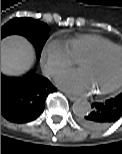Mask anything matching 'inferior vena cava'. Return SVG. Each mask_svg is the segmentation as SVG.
Masks as SVG:
<instances>
[{
	"instance_id": "602c4592",
	"label": "inferior vena cava",
	"mask_w": 122,
	"mask_h": 154,
	"mask_svg": "<svg viewBox=\"0 0 122 154\" xmlns=\"http://www.w3.org/2000/svg\"><path fill=\"white\" fill-rule=\"evenodd\" d=\"M43 74H44L45 76H48V75H49V71H48V70H43Z\"/></svg>"
}]
</instances>
